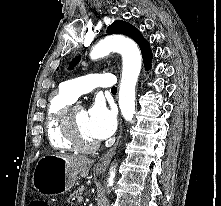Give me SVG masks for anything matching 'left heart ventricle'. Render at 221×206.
Listing matches in <instances>:
<instances>
[{
    "instance_id": "b2bd125f",
    "label": "left heart ventricle",
    "mask_w": 221,
    "mask_h": 206,
    "mask_svg": "<svg viewBox=\"0 0 221 206\" xmlns=\"http://www.w3.org/2000/svg\"><path fill=\"white\" fill-rule=\"evenodd\" d=\"M74 119L82 137L87 141L95 140L88 131L87 112L81 108L76 109L74 112Z\"/></svg>"
}]
</instances>
